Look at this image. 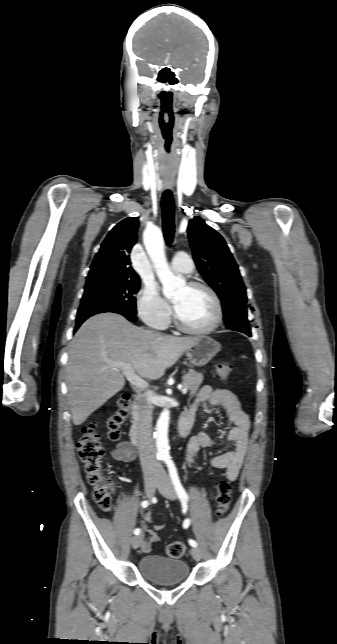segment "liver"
<instances>
[{"instance_id": "6515ba94", "label": "liver", "mask_w": 337, "mask_h": 644, "mask_svg": "<svg viewBox=\"0 0 337 644\" xmlns=\"http://www.w3.org/2000/svg\"><path fill=\"white\" fill-rule=\"evenodd\" d=\"M198 337H173L143 330L115 313L86 320L69 346L68 402L74 425L86 419L125 385L114 362L129 363L142 378H161Z\"/></svg>"}]
</instances>
